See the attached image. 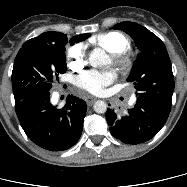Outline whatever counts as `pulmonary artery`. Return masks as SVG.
<instances>
[{
	"mask_svg": "<svg viewBox=\"0 0 187 187\" xmlns=\"http://www.w3.org/2000/svg\"><path fill=\"white\" fill-rule=\"evenodd\" d=\"M135 101V98L134 99H132V102H134Z\"/></svg>",
	"mask_w": 187,
	"mask_h": 187,
	"instance_id": "e3ab8cb5",
	"label": "pulmonary artery"
}]
</instances>
